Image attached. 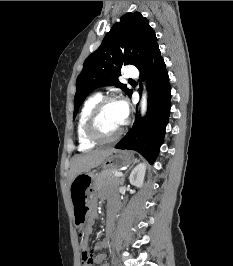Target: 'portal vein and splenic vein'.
<instances>
[{
    "instance_id": "1",
    "label": "portal vein and splenic vein",
    "mask_w": 233,
    "mask_h": 266,
    "mask_svg": "<svg viewBox=\"0 0 233 266\" xmlns=\"http://www.w3.org/2000/svg\"><path fill=\"white\" fill-rule=\"evenodd\" d=\"M122 175H123L122 172H116V173H115V177H121Z\"/></svg>"
}]
</instances>
